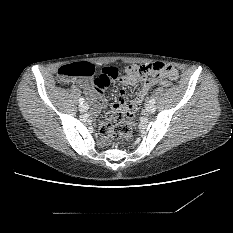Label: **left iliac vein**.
I'll return each instance as SVG.
<instances>
[{"instance_id": "obj_1", "label": "left iliac vein", "mask_w": 233, "mask_h": 233, "mask_svg": "<svg viewBox=\"0 0 233 233\" xmlns=\"http://www.w3.org/2000/svg\"><path fill=\"white\" fill-rule=\"evenodd\" d=\"M145 109H146V111H147L148 113H153V112H155V110H156V108H155V106H154L153 104H148V105H146Z\"/></svg>"}]
</instances>
